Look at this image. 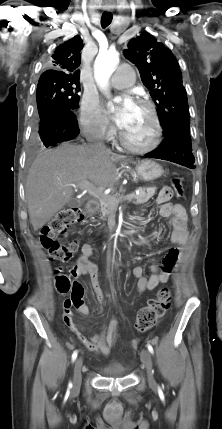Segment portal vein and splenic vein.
Masks as SVG:
<instances>
[{"label":"portal vein and splenic vein","instance_id":"18ae733b","mask_svg":"<svg viewBox=\"0 0 222 429\" xmlns=\"http://www.w3.org/2000/svg\"><path fill=\"white\" fill-rule=\"evenodd\" d=\"M70 186L75 188H80L88 192L91 196L98 198L99 200L105 196L104 190L102 188H97L88 181H81L77 184H70ZM132 198H133V194H129V195H126L125 197H120L118 199H115V202L118 204L121 200H131Z\"/></svg>","mask_w":222,"mask_h":429}]
</instances>
